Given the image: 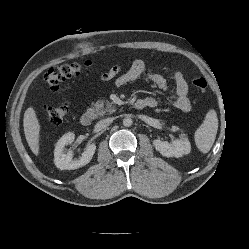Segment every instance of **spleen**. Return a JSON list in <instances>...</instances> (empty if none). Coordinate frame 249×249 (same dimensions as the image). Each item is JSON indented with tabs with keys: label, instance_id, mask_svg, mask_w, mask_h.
Wrapping results in <instances>:
<instances>
[{
	"label": "spleen",
	"instance_id": "spleen-1",
	"mask_svg": "<svg viewBox=\"0 0 249 249\" xmlns=\"http://www.w3.org/2000/svg\"><path fill=\"white\" fill-rule=\"evenodd\" d=\"M218 130L216 111L210 109L199 128L195 132V144L202 153H208L214 144Z\"/></svg>",
	"mask_w": 249,
	"mask_h": 249
}]
</instances>
